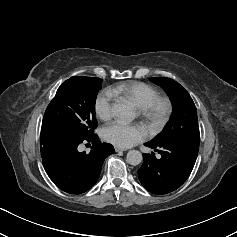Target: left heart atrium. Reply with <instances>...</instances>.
<instances>
[{"mask_svg": "<svg viewBox=\"0 0 237 237\" xmlns=\"http://www.w3.org/2000/svg\"><path fill=\"white\" fill-rule=\"evenodd\" d=\"M105 141L116 147L128 148L147 137V131L139 125L115 121L103 129Z\"/></svg>", "mask_w": 237, "mask_h": 237, "instance_id": "left-heart-atrium-1", "label": "left heart atrium"}]
</instances>
